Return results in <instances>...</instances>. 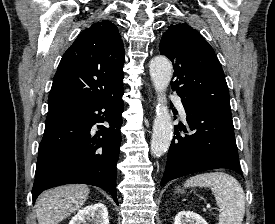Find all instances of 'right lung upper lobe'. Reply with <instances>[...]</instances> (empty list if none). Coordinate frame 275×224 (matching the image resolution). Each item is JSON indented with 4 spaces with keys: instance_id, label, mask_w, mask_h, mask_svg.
Instances as JSON below:
<instances>
[{
    "instance_id": "right-lung-upper-lobe-1",
    "label": "right lung upper lobe",
    "mask_w": 275,
    "mask_h": 224,
    "mask_svg": "<svg viewBox=\"0 0 275 224\" xmlns=\"http://www.w3.org/2000/svg\"><path fill=\"white\" fill-rule=\"evenodd\" d=\"M123 64V41L112 22L103 20L85 29L59 63L49 111L84 106L122 89Z\"/></svg>"
}]
</instances>
